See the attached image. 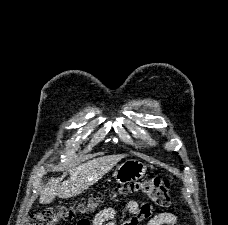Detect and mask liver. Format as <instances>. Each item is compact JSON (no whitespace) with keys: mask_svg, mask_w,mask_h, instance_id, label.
<instances>
[{"mask_svg":"<svg viewBox=\"0 0 228 225\" xmlns=\"http://www.w3.org/2000/svg\"><path fill=\"white\" fill-rule=\"evenodd\" d=\"M124 157L125 155H108V157L92 159V161H87L82 165H75L69 169L70 179L63 181V183L61 181L66 177V173L62 175L61 179L59 177L53 179L52 177L46 187L40 191V203L47 205V203H52L55 197L69 199V197L81 195L83 191L102 179Z\"/></svg>","mask_w":228,"mask_h":225,"instance_id":"1","label":"liver"}]
</instances>
